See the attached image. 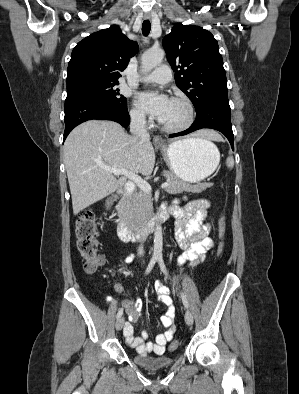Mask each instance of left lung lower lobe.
Segmentation results:
<instances>
[{
  "mask_svg": "<svg viewBox=\"0 0 299 394\" xmlns=\"http://www.w3.org/2000/svg\"><path fill=\"white\" fill-rule=\"evenodd\" d=\"M230 113L228 96L210 98L196 109V119L190 128L183 132L171 134L169 137L186 135L202 128H211L222 132L228 138L234 150Z\"/></svg>",
  "mask_w": 299,
  "mask_h": 394,
  "instance_id": "1",
  "label": "left lung lower lobe"
}]
</instances>
